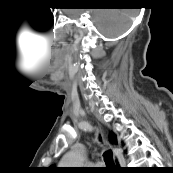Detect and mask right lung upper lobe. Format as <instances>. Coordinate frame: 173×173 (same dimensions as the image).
I'll use <instances>...</instances> for the list:
<instances>
[{"mask_svg": "<svg viewBox=\"0 0 173 173\" xmlns=\"http://www.w3.org/2000/svg\"><path fill=\"white\" fill-rule=\"evenodd\" d=\"M109 139L112 144H117L116 135L113 132H111Z\"/></svg>", "mask_w": 173, "mask_h": 173, "instance_id": "cb5924a9", "label": "right lung upper lobe"}]
</instances>
